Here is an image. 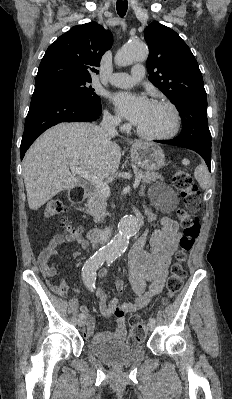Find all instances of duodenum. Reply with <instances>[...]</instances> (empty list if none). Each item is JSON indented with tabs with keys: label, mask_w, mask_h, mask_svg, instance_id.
<instances>
[{
	"label": "duodenum",
	"mask_w": 232,
	"mask_h": 399,
	"mask_svg": "<svg viewBox=\"0 0 232 399\" xmlns=\"http://www.w3.org/2000/svg\"><path fill=\"white\" fill-rule=\"evenodd\" d=\"M86 194V188L78 186L70 192L69 199L73 204H78L84 200ZM103 237L104 232L98 228L91 229L87 234L88 240L92 243H100L103 240Z\"/></svg>",
	"instance_id": "410a0bca"
}]
</instances>
